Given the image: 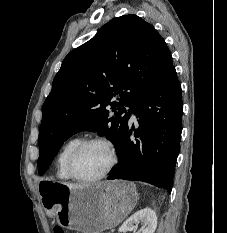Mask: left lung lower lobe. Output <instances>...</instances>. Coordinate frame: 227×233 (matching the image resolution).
Returning a JSON list of instances; mask_svg holds the SVG:
<instances>
[{"instance_id": "1", "label": "left lung lower lobe", "mask_w": 227, "mask_h": 233, "mask_svg": "<svg viewBox=\"0 0 227 233\" xmlns=\"http://www.w3.org/2000/svg\"><path fill=\"white\" fill-rule=\"evenodd\" d=\"M132 112L139 126H127L116 149L118 164L107 179L144 181L171 192L183 113L174 66L161 84L131 106L129 116ZM131 134L138 139L131 140Z\"/></svg>"}]
</instances>
